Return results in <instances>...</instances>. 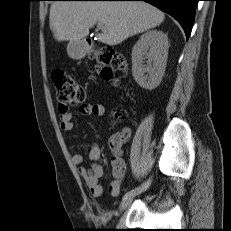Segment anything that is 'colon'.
I'll use <instances>...</instances> for the list:
<instances>
[{
	"label": "colon",
	"mask_w": 231,
	"mask_h": 231,
	"mask_svg": "<svg viewBox=\"0 0 231 231\" xmlns=\"http://www.w3.org/2000/svg\"><path fill=\"white\" fill-rule=\"evenodd\" d=\"M96 60L103 65L101 76L104 80H111L113 71L122 68L125 59L122 53L113 47H103L94 54ZM52 79L55 84L57 100L65 111L66 106L78 105L85 101L86 92L72 76L64 70H55L52 73ZM117 118H122L124 112L121 109L115 111Z\"/></svg>",
	"instance_id": "colon-1"
}]
</instances>
